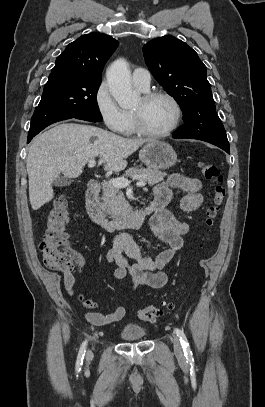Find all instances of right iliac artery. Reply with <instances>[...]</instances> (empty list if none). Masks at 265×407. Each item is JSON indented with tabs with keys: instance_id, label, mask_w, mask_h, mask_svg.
Here are the masks:
<instances>
[{
	"instance_id": "right-iliac-artery-1",
	"label": "right iliac artery",
	"mask_w": 265,
	"mask_h": 407,
	"mask_svg": "<svg viewBox=\"0 0 265 407\" xmlns=\"http://www.w3.org/2000/svg\"><path fill=\"white\" fill-rule=\"evenodd\" d=\"M86 345H87V341H84L83 344L80 347L79 353H78V357H77V362H76V369L80 370V366L83 364V358L85 355V351H86Z\"/></svg>"
}]
</instances>
